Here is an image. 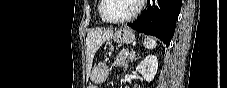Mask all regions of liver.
<instances>
[{"mask_svg": "<svg viewBox=\"0 0 227 88\" xmlns=\"http://www.w3.org/2000/svg\"><path fill=\"white\" fill-rule=\"evenodd\" d=\"M113 36V31L109 29H96L91 30L87 34L86 45H87V60L91 66L95 53L100 46L109 38Z\"/></svg>", "mask_w": 227, "mask_h": 88, "instance_id": "6515ba94", "label": "liver"}]
</instances>
